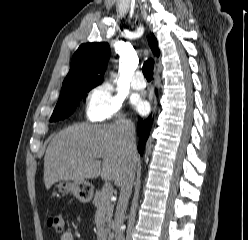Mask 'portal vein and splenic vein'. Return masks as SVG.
<instances>
[{"label":"portal vein and splenic vein","mask_w":248,"mask_h":240,"mask_svg":"<svg viewBox=\"0 0 248 240\" xmlns=\"http://www.w3.org/2000/svg\"><path fill=\"white\" fill-rule=\"evenodd\" d=\"M102 191H103V193L104 194H106V195H112V192H113V187H112V185H111V183L110 182H105V184L103 185V188H102Z\"/></svg>","instance_id":"portal-vein-and-splenic-vein-1"}]
</instances>
